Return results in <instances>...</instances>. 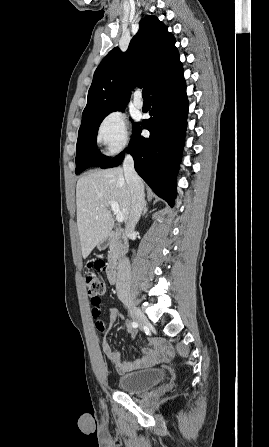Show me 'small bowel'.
I'll return each mask as SVG.
<instances>
[{
  "instance_id": "obj_1",
  "label": "small bowel",
  "mask_w": 269,
  "mask_h": 447,
  "mask_svg": "<svg viewBox=\"0 0 269 447\" xmlns=\"http://www.w3.org/2000/svg\"><path fill=\"white\" fill-rule=\"evenodd\" d=\"M121 321H123L121 313L117 309H111L110 325ZM126 326L129 327L128 325ZM132 337L134 338L135 335L132 334ZM102 351L107 359L110 361V363L120 373L134 371L167 361L173 355L171 348L165 343H156L150 347L145 348L143 351V355L135 360H122L121 354L112 352L106 342L102 344Z\"/></svg>"
}]
</instances>
